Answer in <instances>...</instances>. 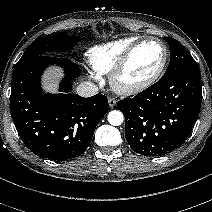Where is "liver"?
Instances as JSON below:
<instances>
[{
    "label": "liver",
    "mask_w": 212,
    "mask_h": 212,
    "mask_svg": "<svg viewBox=\"0 0 212 212\" xmlns=\"http://www.w3.org/2000/svg\"><path fill=\"white\" fill-rule=\"evenodd\" d=\"M59 79L60 71L58 69L55 67L48 69L42 79L43 89L46 92L55 93Z\"/></svg>",
    "instance_id": "1"
}]
</instances>
